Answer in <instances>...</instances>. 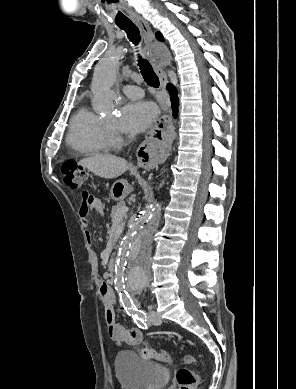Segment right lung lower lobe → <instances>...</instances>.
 Returning <instances> with one entry per match:
<instances>
[{"mask_svg": "<svg viewBox=\"0 0 296 389\" xmlns=\"http://www.w3.org/2000/svg\"><path fill=\"white\" fill-rule=\"evenodd\" d=\"M167 89L170 92V98H171V103H172V108H173V116L176 117L178 113V95H177V90L173 85H168Z\"/></svg>", "mask_w": 296, "mask_h": 389, "instance_id": "obj_1", "label": "right lung lower lobe"}]
</instances>
